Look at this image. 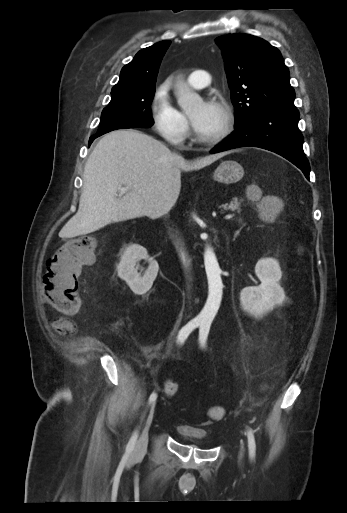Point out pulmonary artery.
Wrapping results in <instances>:
<instances>
[{
    "instance_id": "pulmonary-artery-1",
    "label": "pulmonary artery",
    "mask_w": 347,
    "mask_h": 513,
    "mask_svg": "<svg viewBox=\"0 0 347 513\" xmlns=\"http://www.w3.org/2000/svg\"><path fill=\"white\" fill-rule=\"evenodd\" d=\"M189 83L196 89H202L209 85L210 74L205 70H195L189 75Z\"/></svg>"
}]
</instances>
